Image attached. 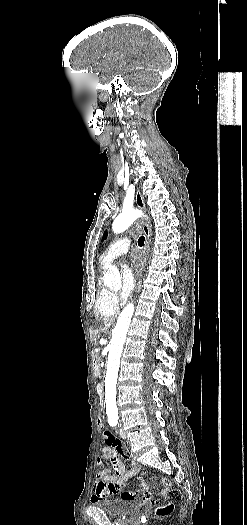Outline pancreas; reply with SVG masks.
I'll use <instances>...</instances> for the list:
<instances>
[{"label": "pancreas", "mask_w": 247, "mask_h": 525, "mask_svg": "<svg viewBox=\"0 0 247 525\" xmlns=\"http://www.w3.org/2000/svg\"><path fill=\"white\" fill-rule=\"evenodd\" d=\"M98 352H99V349H94V352H93V355H94V356H93V359H94L95 361H98V360L100 359V356H99Z\"/></svg>", "instance_id": "obj_1"}]
</instances>
